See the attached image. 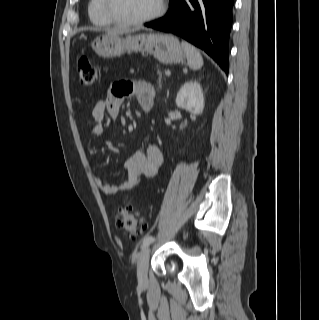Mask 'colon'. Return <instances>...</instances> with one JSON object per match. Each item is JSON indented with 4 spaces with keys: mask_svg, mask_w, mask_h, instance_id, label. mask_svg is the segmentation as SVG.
Instances as JSON below:
<instances>
[{
    "mask_svg": "<svg viewBox=\"0 0 319 320\" xmlns=\"http://www.w3.org/2000/svg\"><path fill=\"white\" fill-rule=\"evenodd\" d=\"M77 72L80 83L90 86L97 80V70L85 55H79L76 60ZM116 225L121 228L125 235L134 238L146 231V223L129 208L119 209L115 214Z\"/></svg>",
    "mask_w": 319,
    "mask_h": 320,
    "instance_id": "obj_1",
    "label": "colon"
}]
</instances>
